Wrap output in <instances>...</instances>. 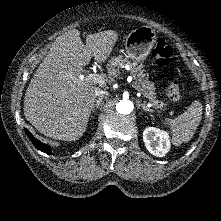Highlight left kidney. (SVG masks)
<instances>
[{
	"instance_id": "left-kidney-1",
	"label": "left kidney",
	"mask_w": 221,
	"mask_h": 221,
	"mask_svg": "<svg viewBox=\"0 0 221 221\" xmlns=\"http://www.w3.org/2000/svg\"><path fill=\"white\" fill-rule=\"evenodd\" d=\"M169 134L166 131L148 127L143 132V141L147 150L157 156L163 157L170 150Z\"/></svg>"
}]
</instances>
